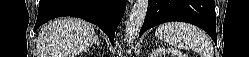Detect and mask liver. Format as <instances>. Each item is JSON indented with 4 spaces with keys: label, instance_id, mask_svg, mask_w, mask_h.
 Wrapping results in <instances>:
<instances>
[{
    "label": "liver",
    "instance_id": "6515ba94",
    "mask_svg": "<svg viewBox=\"0 0 249 57\" xmlns=\"http://www.w3.org/2000/svg\"><path fill=\"white\" fill-rule=\"evenodd\" d=\"M94 26L82 19L60 18L50 22L38 36L37 57H75L94 43Z\"/></svg>",
    "mask_w": 249,
    "mask_h": 57
}]
</instances>
